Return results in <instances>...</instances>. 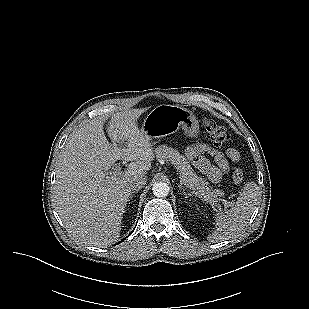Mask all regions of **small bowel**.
Returning a JSON list of instances; mask_svg holds the SVG:
<instances>
[{"mask_svg": "<svg viewBox=\"0 0 309 309\" xmlns=\"http://www.w3.org/2000/svg\"><path fill=\"white\" fill-rule=\"evenodd\" d=\"M203 152L209 153L214 158L216 166L209 164L201 158V153ZM188 154L207 178L215 184L219 183L223 175L229 172L230 162L236 163L240 159L239 151L233 147H229L225 152H221L204 144L190 148Z\"/></svg>", "mask_w": 309, "mask_h": 309, "instance_id": "c3829d8e", "label": "small bowel"}]
</instances>
